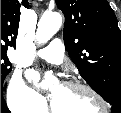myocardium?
<instances>
[{
	"instance_id": "obj_1",
	"label": "myocardium",
	"mask_w": 121,
	"mask_h": 113,
	"mask_svg": "<svg viewBox=\"0 0 121 113\" xmlns=\"http://www.w3.org/2000/svg\"><path fill=\"white\" fill-rule=\"evenodd\" d=\"M62 86L65 87V88H68V89L75 90V91H83V92L90 93L95 99H97L101 103V105L103 107V110H102L101 113H108V111H109L108 102L106 101V99L101 94H99L91 86L86 85L84 83L73 82V81L64 82L62 84ZM49 106H50V110H51L52 113H58L51 100L49 101Z\"/></svg>"
}]
</instances>
